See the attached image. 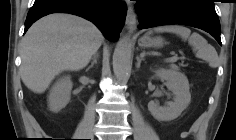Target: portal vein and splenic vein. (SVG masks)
<instances>
[{
    "instance_id": "18ae733b",
    "label": "portal vein and splenic vein",
    "mask_w": 236,
    "mask_h": 140,
    "mask_svg": "<svg viewBox=\"0 0 236 140\" xmlns=\"http://www.w3.org/2000/svg\"><path fill=\"white\" fill-rule=\"evenodd\" d=\"M178 60V57L175 55L168 59L169 62H176Z\"/></svg>"
}]
</instances>
